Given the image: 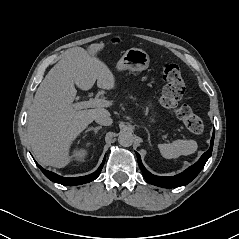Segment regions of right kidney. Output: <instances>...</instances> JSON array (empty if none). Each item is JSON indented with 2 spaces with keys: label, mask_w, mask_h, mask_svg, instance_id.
Instances as JSON below:
<instances>
[{
  "label": "right kidney",
  "mask_w": 239,
  "mask_h": 239,
  "mask_svg": "<svg viewBox=\"0 0 239 239\" xmlns=\"http://www.w3.org/2000/svg\"><path fill=\"white\" fill-rule=\"evenodd\" d=\"M88 155V151L86 149H75L73 151V154H72V157L74 160H77V161H84L85 158L87 157Z\"/></svg>",
  "instance_id": "ca27d5eb"
}]
</instances>
